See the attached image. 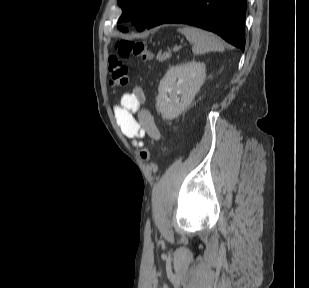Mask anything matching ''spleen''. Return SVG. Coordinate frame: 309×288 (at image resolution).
I'll list each match as a JSON object with an SVG mask.
<instances>
[{
  "label": "spleen",
  "instance_id": "1",
  "mask_svg": "<svg viewBox=\"0 0 309 288\" xmlns=\"http://www.w3.org/2000/svg\"><path fill=\"white\" fill-rule=\"evenodd\" d=\"M178 31L185 35L186 39L193 44L192 52L195 55L224 50L221 39L211 32L190 26L181 28Z\"/></svg>",
  "mask_w": 309,
  "mask_h": 288
}]
</instances>
